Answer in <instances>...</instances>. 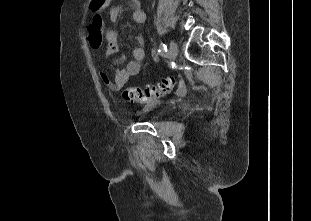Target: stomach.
Returning <instances> with one entry per match:
<instances>
[{
    "mask_svg": "<svg viewBox=\"0 0 311 221\" xmlns=\"http://www.w3.org/2000/svg\"><path fill=\"white\" fill-rule=\"evenodd\" d=\"M110 0H96V8L97 10H102V8H106L108 6Z\"/></svg>",
    "mask_w": 311,
    "mask_h": 221,
    "instance_id": "0dacf381",
    "label": "stomach"
}]
</instances>
